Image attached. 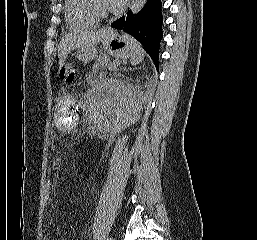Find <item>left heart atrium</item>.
<instances>
[{
	"label": "left heart atrium",
	"instance_id": "obj_1",
	"mask_svg": "<svg viewBox=\"0 0 257 240\" xmlns=\"http://www.w3.org/2000/svg\"><path fill=\"white\" fill-rule=\"evenodd\" d=\"M127 0H108V5L111 10H120L124 7Z\"/></svg>",
	"mask_w": 257,
	"mask_h": 240
}]
</instances>
